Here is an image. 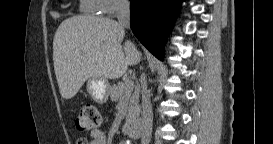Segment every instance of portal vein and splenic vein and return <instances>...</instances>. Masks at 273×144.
<instances>
[{"instance_id": "1", "label": "portal vein and splenic vein", "mask_w": 273, "mask_h": 144, "mask_svg": "<svg viewBox=\"0 0 273 144\" xmlns=\"http://www.w3.org/2000/svg\"><path fill=\"white\" fill-rule=\"evenodd\" d=\"M133 86H134V82L133 81H126V88L132 89Z\"/></svg>"}]
</instances>
